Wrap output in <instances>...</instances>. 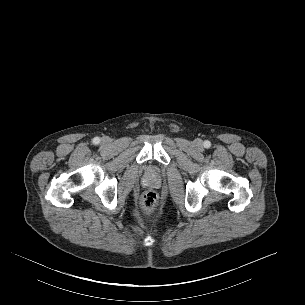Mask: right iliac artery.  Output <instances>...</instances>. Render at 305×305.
Returning a JSON list of instances; mask_svg holds the SVG:
<instances>
[{"label":"right iliac artery","instance_id":"82829eb1","mask_svg":"<svg viewBox=\"0 0 305 305\" xmlns=\"http://www.w3.org/2000/svg\"><path fill=\"white\" fill-rule=\"evenodd\" d=\"M100 142V138L99 137H95L94 139H93V143L94 144H98Z\"/></svg>","mask_w":305,"mask_h":305}]
</instances>
